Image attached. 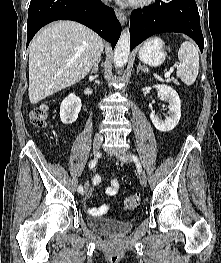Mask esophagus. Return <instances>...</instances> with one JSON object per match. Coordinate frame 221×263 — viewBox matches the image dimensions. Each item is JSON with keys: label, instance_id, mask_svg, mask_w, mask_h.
I'll list each match as a JSON object with an SVG mask.
<instances>
[{"label": "esophagus", "instance_id": "esophagus-1", "mask_svg": "<svg viewBox=\"0 0 221 263\" xmlns=\"http://www.w3.org/2000/svg\"><path fill=\"white\" fill-rule=\"evenodd\" d=\"M115 13H116V16H117L118 20L120 21V23L122 25H124L126 23V21H127L126 14L123 11H121V10H119L117 8L115 9Z\"/></svg>", "mask_w": 221, "mask_h": 263}]
</instances>
